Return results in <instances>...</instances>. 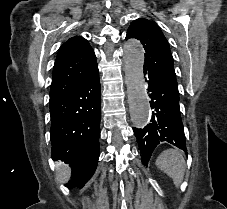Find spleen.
Instances as JSON below:
<instances>
[{
  "label": "spleen",
  "mask_w": 227,
  "mask_h": 209,
  "mask_svg": "<svg viewBox=\"0 0 227 209\" xmlns=\"http://www.w3.org/2000/svg\"><path fill=\"white\" fill-rule=\"evenodd\" d=\"M157 169L173 179L174 185L179 187L184 179L185 161L178 149H167L160 153L155 163Z\"/></svg>",
  "instance_id": "1"
}]
</instances>
